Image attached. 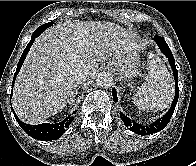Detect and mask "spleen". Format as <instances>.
I'll return each mask as SVG.
<instances>
[{
  "instance_id": "3e777b00",
  "label": "spleen",
  "mask_w": 196,
  "mask_h": 166,
  "mask_svg": "<svg viewBox=\"0 0 196 166\" xmlns=\"http://www.w3.org/2000/svg\"><path fill=\"white\" fill-rule=\"evenodd\" d=\"M174 96L173 79L161 58L148 56L146 81L134 94L133 103L141 110L157 112L169 106Z\"/></svg>"
}]
</instances>
